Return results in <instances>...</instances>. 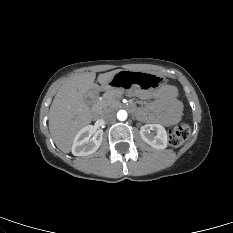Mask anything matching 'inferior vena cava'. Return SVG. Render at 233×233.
Wrapping results in <instances>:
<instances>
[{"instance_id": "inferior-vena-cava-1", "label": "inferior vena cava", "mask_w": 233, "mask_h": 233, "mask_svg": "<svg viewBox=\"0 0 233 233\" xmlns=\"http://www.w3.org/2000/svg\"><path fill=\"white\" fill-rule=\"evenodd\" d=\"M102 118L106 121V122H111L115 120V113L111 110H107L102 114Z\"/></svg>"}]
</instances>
